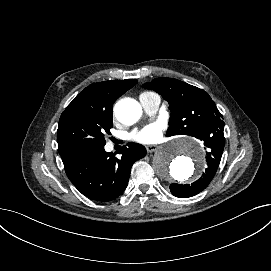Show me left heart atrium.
<instances>
[{
  "instance_id": "left-heart-atrium-1",
  "label": "left heart atrium",
  "mask_w": 271,
  "mask_h": 271,
  "mask_svg": "<svg viewBox=\"0 0 271 271\" xmlns=\"http://www.w3.org/2000/svg\"><path fill=\"white\" fill-rule=\"evenodd\" d=\"M163 129V124L153 123L134 134V139L143 144L156 143L161 139Z\"/></svg>"
}]
</instances>
